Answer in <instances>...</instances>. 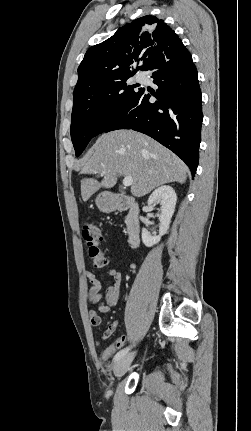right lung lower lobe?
<instances>
[{
	"instance_id": "right-lung-lower-lobe-1",
	"label": "right lung lower lobe",
	"mask_w": 251,
	"mask_h": 431,
	"mask_svg": "<svg viewBox=\"0 0 251 431\" xmlns=\"http://www.w3.org/2000/svg\"><path fill=\"white\" fill-rule=\"evenodd\" d=\"M157 92L140 88L104 132L133 129L157 140L178 155L190 168L198 166L203 120L197 70L184 45L166 50L146 71ZM153 95L157 100L150 102Z\"/></svg>"
}]
</instances>
